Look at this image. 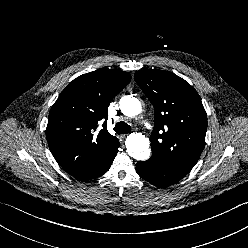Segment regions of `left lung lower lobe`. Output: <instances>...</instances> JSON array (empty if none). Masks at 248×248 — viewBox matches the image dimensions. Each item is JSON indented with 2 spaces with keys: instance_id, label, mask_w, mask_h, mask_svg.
<instances>
[{
  "instance_id": "left-lung-lower-lobe-1",
  "label": "left lung lower lobe",
  "mask_w": 248,
  "mask_h": 248,
  "mask_svg": "<svg viewBox=\"0 0 248 248\" xmlns=\"http://www.w3.org/2000/svg\"><path fill=\"white\" fill-rule=\"evenodd\" d=\"M136 172L141 178L157 187L174 184L185 177L155 156H151L147 161L138 162Z\"/></svg>"
}]
</instances>
